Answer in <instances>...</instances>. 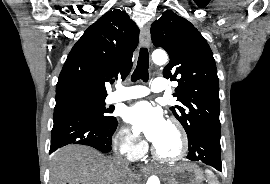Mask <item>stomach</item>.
<instances>
[{
  "mask_svg": "<svg viewBox=\"0 0 270 184\" xmlns=\"http://www.w3.org/2000/svg\"><path fill=\"white\" fill-rule=\"evenodd\" d=\"M164 177L167 184H202L203 172L190 162L180 163L165 170Z\"/></svg>",
  "mask_w": 270,
  "mask_h": 184,
  "instance_id": "stomach-1",
  "label": "stomach"
}]
</instances>
